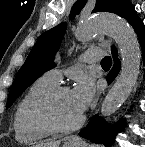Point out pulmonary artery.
Returning <instances> with one entry per match:
<instances>
[{"label":"pulmonary artery","mask_w":145,"mask_h":147,"mask_svg":"<svg viewBox=\"0 0 145 147\" xmlns=\"http://www.w3.org/2000/svg\"><path fill=\"white\" fill-rule=\"evenodd\" d=\"M102 55L103 52L101 49L91 48L85 51L81 57L85 63H94L98 61ZM45 76L55 82H58L61 79V72L58 69H51L45 73Z\"/></svg>","instance_id":"e3ab8cb5"}]
</instances>
